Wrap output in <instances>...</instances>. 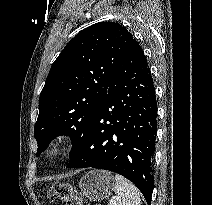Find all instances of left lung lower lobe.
Instances as JSON below:
<instances>
[{
	"label": "left lung lower lobe",
	"instance_id": "left-lung-lower-lobe-1",
	"mask_svg": "<svg viewBox=\"0 0 212 205\" xmlns=\"http://www.w3.org/2000/svg\"><path fill=\"white\" fill-rule=\"evenodd\" d=\"M157 102L146 57L133 39L110 80L86 139L67 168L93 167L132 181L151 205Z\"/></svg>",
	"mask_w": 212,
	"mask_h": 205
}]
</instances>
